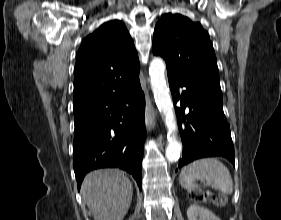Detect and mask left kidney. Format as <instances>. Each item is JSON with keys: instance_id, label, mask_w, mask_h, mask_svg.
Listing matches in <instances>:
<instances>
[{"instance_id": "1", "label": "left kidney", "mask_w": 281, "mask_h": 220, "mask_svg": "<svg viewBox=\"0 0 281 220\" xmlns=\"http://www.w3.org/2000/svg\"><path fill=\"white\" fill-rule=\"evenodd\" d=\"M188 220H221L208 209L199 205H190L187 209Z\"/></svg>"}]
</instances>
